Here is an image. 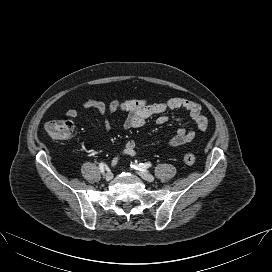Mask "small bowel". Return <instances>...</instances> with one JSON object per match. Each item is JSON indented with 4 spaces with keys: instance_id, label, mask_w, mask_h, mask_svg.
<instances>
[{
    "instance_id": "1",
    "label": "small bowel",
    "mask_w": 272,
    "mask_h": 272,
    "mask_svg": "<svg viewBox=\"0 0 272 272\" xmlns=\"http://www.w3.org/2000/svg\"><path fill=\"white\" fill-rule=\"evenodd\" d=\"M84 109H94L104 119V128L106 132L111 129L109 115L124 112L127 114L124 121V128L136 129L142 127L146 121L154 116H157L156 122L164 124L168 120L167 112L169 110L183 109L188 112L191 119L194 121L196 129L200 132L208 128V118L202 114L201 106L191 100L185 98L174 97L161 102H150L146 99H130L125 101L113 100L109 104H105L99 100H86L82 103ZM66 116L69 118H77L79 111L71 108L67 110ZM196 132L185 128H178L174 136L169 140L168 146L175 148L184 144H188L194 140ZM137 155L136 143L134 140L126 142L120 154L113 158V163H117L123 156L134 157Z\"/></svg>"
}]
</instances>
